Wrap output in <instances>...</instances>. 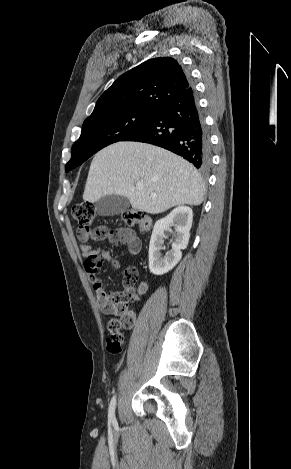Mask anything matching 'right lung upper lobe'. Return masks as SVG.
Wrapping results in <instances>:
<instances>
[{"instance_id": "obj_1", "label": "right lung upper lobe", "mask_w": 291, "mask_h": 469, "mask_svg": "<svg viewBox=\"0 0 291 469\" xmlns=\"http://www.w3.org/2000/svg\"><path fill=\"white\" fill-rule=\"evenodd\" d=\"M190 85L177 60L171 57L150 59L121 75L100 96L87 119L131 109L154 110L162 101Z\"/></svg>"}]
</instances>
